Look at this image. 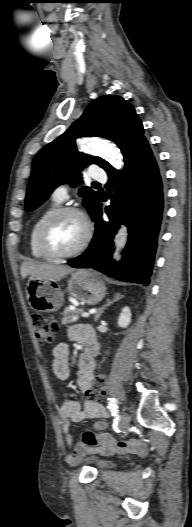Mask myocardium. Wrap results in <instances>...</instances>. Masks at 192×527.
Returning a JSON list of instances; mask_svg holds the SVG:
<instances>
[{
	"label": "myocardium",
	"mask_w": 192,
	"mask_h": 527,
	"mask_svg": "<svg viewBox=\"0 0 192 527\" xmlns=\"http://www.w3.org/2000/svg\"><path fill=\"white\" fill-rule=\"evenodd\" d=\"M66 214H74L78 216L81 221L83 222L84 226V234L82 237V240L80 243L71 251L60 253L55 250H53L48 241V234L52 227V225L55 223L57 219H59L61 216ZM92 238V225L88 218V216L83 212L80 208L74 207V206H63L56 208L53 212H51L46 219L41 224L38 235H37V242L39 249L44 254L45 257H47L50 260H63V259H69L74 256H77L80 254L90 243V240Z\"/></svg>",
	"instance_id": "1"
}]
</instances>
